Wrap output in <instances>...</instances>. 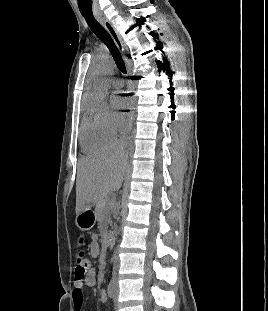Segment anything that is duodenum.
<instances>
[{
    "mask_svg": "<svg viewBox=\"0 0 268 311\" xmlns=\"http://www.w3.org/2000/svg\"><path fill=\"white\" fill-rule=\"evenodd\" d=\"M115 242V238L112 234H108L105 238V245L107 248H112Z\"/></svg>",
    "mask_w": 268,
    "mask_h": 311,
    "instance_id": "410a0bca",
    "label": "duodenum"
}]
</instances>
